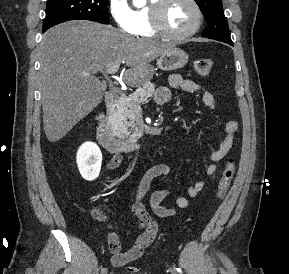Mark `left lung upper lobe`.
<instances>
[{
    "instance_id": "obj_1",
    "label": "left lung upper lobe",
    "mask_w": 289,
    "mask_h": 274,
    "mask_svg": "<svg viewBox=\"0 0 289 274\" xmlns=\"http://www.w3.org/2000/svg\"><path fill=\"white\" fill-rule=\"evenodd\" d=\"M206 18L208 27L202 36L222 42L231 40L227 19L223 12L222 0H195Z\"/></svg>"
}]
</instances>
